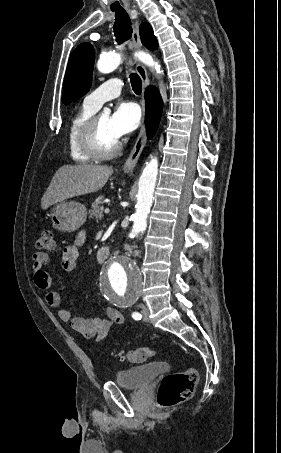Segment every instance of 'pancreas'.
I'll use <instances>...</instances> for the list:
<instances>
[{"instance_id": "obj_1", "label": "pancreas", "mask_w": 281, "mask_h": 453, "mask_svg": "<svg viewBox=\"0 0 281 453\" xmlns=\"http://www.w3.org/2000/svg\"><path fill=\"white\" fill-rule=\"evenodd\" d=\"M104 196H97L95 198L94 202H92L90 208H89V218H103V210H104Z\"/></svg>"}]
</instances>
